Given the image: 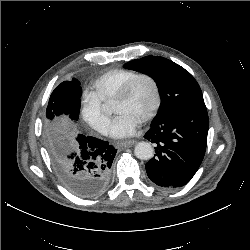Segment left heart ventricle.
<instances>
[{
  "instance_id": "obj_1",
  "label": "left heart ventricle",
  "mask_w": 250,
  "mask_h": 250,
  "mask_svg": "<svg viewBox=\"0 0 250 250\" xmlns=\"http://www.w3.org/2000/svg\"><path fill=\"white\" fill-rule=\"evenodd\" d=\"M155 94L151 83L147 80L139 81L129 98L114 104L117 114H128L141 122L153 109Z\"/></svg>"
}]
</instances>
